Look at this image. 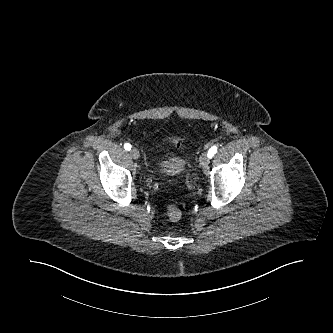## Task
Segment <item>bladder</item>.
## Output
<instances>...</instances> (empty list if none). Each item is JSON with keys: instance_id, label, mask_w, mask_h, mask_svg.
Returning a JSON list of instances; mask_svg holds the SVG:
<instances>
[{"instance_id": "1", "label": "bladder", "mask_w": 333, "mask_h": 333, "mask_svg": "<svg viewBox=\"0 0 333 333\" xmlns=\"http://www.w3.org/2000/svg\"><path fill=\"white\" fill-rule=\"evenodd\" d=\"M186 162L179 157H171L169 159L160 160L156 169L160 174L170 177L180 176L185 170Z\"/></svg>"}]
</instances>
